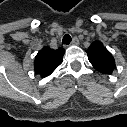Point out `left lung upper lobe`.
<instances>
[{
    "label": "left lung upper lobe",
    "instance_id": "obj_1",
    "mask_svg": "<svg viewBox=\"0 0 127 127\" xmlns=\"http://www.w3.org/2000/svg\"><path fill=\"white\" fill-rule=\"evenodd\" d=\"M93 67L103 74H111L115 69L112 54L103 46L102 42H93L86 51Z\"/></svg>",
    "mask_w": 127,
    "mask_h": 127
}]
</instances>
